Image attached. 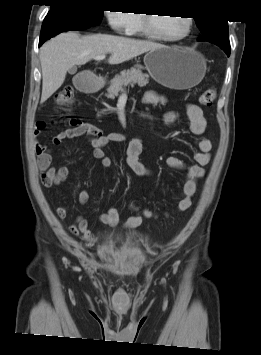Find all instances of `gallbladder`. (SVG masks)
Instances as JSON below:
<instances>
[{
  "instance_id": "gallbladder-1",
  "label": "gallbladder",
  "mask_w": 261,
  "mask_h": 355,
  "mask_svg": "<svg viewBox=\"0 0 261 355\" xmlns=\"http://www.w3.org/2000/svg\"><path fill=\"white\" fill-rule=\"evenodd\" d=\"M68 71H69L70 74H74V73H76V71H77V67H76V66H73V67H71Z\"/></svg>"
}]
</instances>
